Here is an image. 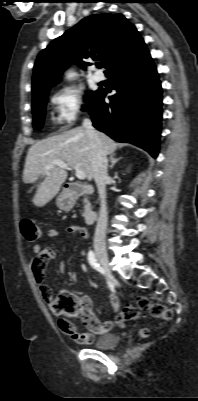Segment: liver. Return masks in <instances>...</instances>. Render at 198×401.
I'll use <instances>...</instances> for the list:
<instances>
[{
    "label": "liver",
    "mask_w": 198,
    "mask_h": 401,
    "mask_svg": "<svg viewBox=\"0 0 198 401\" xmlns=\"http://www.w3.org/2000/svg\"><path fill=\"white\" fill-rule=\"evenodd\" d=\"M97 133L106 154L113 155L117 143L104 133ZM54 160L65 162L73 170L84 171L89 181L94 178L90 138L83 127L37 141L29 148L23 171L24 182L34 183L40 176H46L33 198V203L38 207L52 200L67 178L65 169L56 165L50 171H45V167Z\"/></svg>",
    "instance_id": "6515ba94"
}]
</instances>
